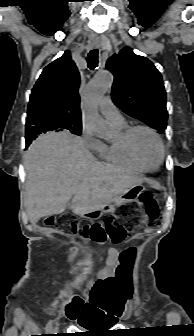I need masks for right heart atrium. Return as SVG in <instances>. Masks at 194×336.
<instances>
[{"mask_svg":"<svg viewBox=\"0 0 194 336\" xmlns=\"http://www.w3.org/2000/svg\"><path fill=\"white\" fill-rule=\"evenodd\" d=\"M82 140L84 142V145L92 151H98V149H99V147L102 143L91 132H89L86 128H83V130H82Z\"/></svg>","mask_w":194,"mask_h":336,"instance_id":"d8ad5b80","label":"right heart atrium"}]
</instances>
